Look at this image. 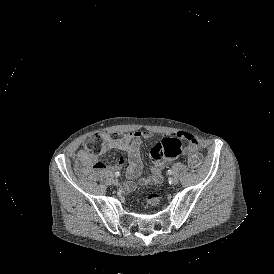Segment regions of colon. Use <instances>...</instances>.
<instances>
[{"label":"colon","mask_w":274,"mask_h":274,"mask_svg":"<svg viewBox=\"0 0 274 274\" xmlns=\"http://www.w3.org/2000/svg\"><path fill=\"white\" fill-rule=\"evenodd\" d=\"M105 134L94 133L88 136L84 143L83 148L90 156H98L104 149ZM189 165L192 168H199L203 163V156L200 153H193L189 158ZM158 202V197L155 193H150L147 196L146 204L148 206H155Z\"/></svg>","instance_id":"5ec220e1"}]
</instances>
